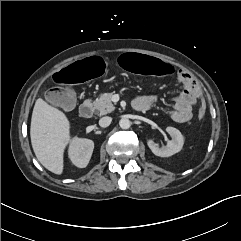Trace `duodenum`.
Listing matches in <instances>:
<instances>
[{
    "label": "duodenum",
    "instance_id": "410a0bca",
    "mask_svg": "<svg viewBox=\"0 0 241 241\" xmlns=\"http://www.w3.org/2000/svg\"><path fill=\"white\" fill-rule=\"evenodd\" d=\"M132 107L137 112H144L147 110L145 105L140 102H134ZM79 114L82 118H85V119L90 118L92 116L91 103L88 101L83 102L79 107Z\"/></svg>",
    "mask_w": 241,
    "mask_h": 241
}]
</instances>
